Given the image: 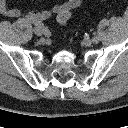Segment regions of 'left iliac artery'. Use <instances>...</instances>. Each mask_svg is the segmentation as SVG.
I'll return each mask as SVG.
<instances>
[{
	"instance_id": "1",
	"label": "left iliac artery",
	"mask_w": 128,
	"mask_h": 128,
	"mask_svg": "<svg viewBox=\"0 0 128 128\" xmlns=\"http://www.w3.org/2000/svg\"><path fill=\"white\" fill-rule=\"evenodd\" d=\"M93 43H98L99 39L97 37L92 38Z\"/></svg>"
}]
</instances>
